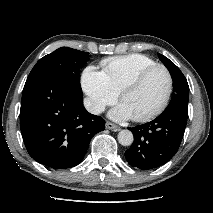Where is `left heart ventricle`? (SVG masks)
I'll list each match as a JSON object with an SVG mask.
<instances>
[{"label": "left heart ventricle", "instance_id": "obj_1", "mask_svg": "<svg viewBox=\"0 0 213 213\" xmlns=\"http://www.w3.org/2000/svg\"><path fill=\"white\" fill-rule=\"evenodd\" d=\"M168 86L166 73L155 70L149 73L134 89L128 91L121 103L132 117L142 116L153 110L164 98Z\"/></svg>", "mask_w": 213, "mask_h": 213}]
</instances>
